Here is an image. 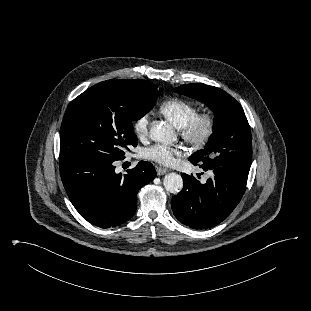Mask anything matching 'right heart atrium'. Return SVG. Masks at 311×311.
<instances>
[{
  "instance_id": "obj_1",
  "label": "right heart atrium",
  "mask_w": 311,
  "mask_h": 311,
  "mask_svg": "<svg viewBox=\"0 0 311 311\" xmlns=\"http://www.w3.org/2000/svg\"><path fill=\"white\" fill-rule=\"evenodd\" d=\"M133 130L138 138H144L149 130V115L143 114L137 117L133 122Z\"/></svg>"
}]
</instances>
